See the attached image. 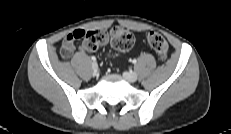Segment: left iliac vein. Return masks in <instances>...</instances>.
Returning a JSON list of instances; mask_svg holds the SVG:
<instances>
[{"mask_svg":"<svg viewBox=\"0 0 231 134\" xmlns=\"http://www.w3.org/2000/svg\"><path fill=\"white\" fill-rule=\"evenodd\" d=\"M123 76L129 82H135L138 77L135 72H124Z\"/></svg>","mask_w":231,"mask_h":134,"instance_id":"left-iliac-vein-1","label":"left iliac vein"}]
</instances>
